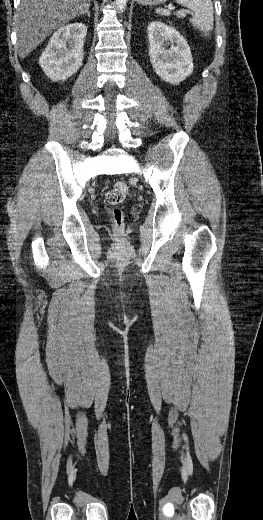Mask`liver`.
Returning <instances> with one entry per match:
<instances>
[{
    "mask_svg": "<svg viewBox=\"0 0 263 520\" xmlns=\"http://www.w3.org/2000/svg\"><path fill=\"white\" fill-rule=\"evenodd\" d=\"M90 0H21L15 13L17 48L27 57L53 31L82 15Z\"/></svg>",
    "mask_w": 263,
    "mask_h": 520,
    "instance_id": "liver-1",
    "label": "liver"
}]
</instances>
